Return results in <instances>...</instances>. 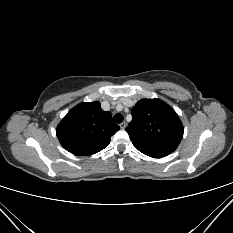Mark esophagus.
<instances>
[{
    "instance_id": "obj_1",
    "label": "esophagus",
    "mask_w": 233,
    "mask_h": 233,
    "mask_svg": "<svg viewBox=\"0 0 233 233\" xmlns=\"http://www.w3.org/2000/svg\"><path fill=\"white\" fill-rule=\"evenodd\" d=\"M126 126H127V123H126V122H122V123L120 124V128H121V129H125Z\"/></svg>"
}]
</instances>
